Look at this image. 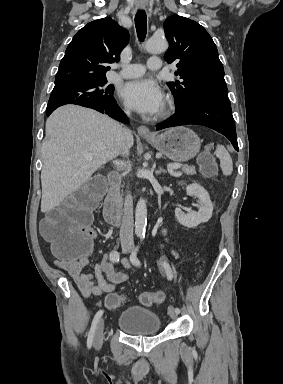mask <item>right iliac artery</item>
Returning a JSON list of instances; mask_svg holds the SVG:
<instances>
[{"label": "right iliac artery", "mask_w": 283, "mask_h": 384, "mask_svg": "<svg viewBox=\"0 0 283 384\" xmlns=\"http://www.w3.org/2000/svg\"><path fill=\"white\" fill-rule=\"evenodd\" d=\"M109 258L112 262H119L120 255L117 251H112L109 255ZM103 315V310H99L96 315L94 316L93 322L91 324L90 331L88 333V339H87V347L91 348L93 343L94 334L97 328V325L99 323V320L101 316Z\"/></svg>", "instance_id": "1"}]
</instances>
